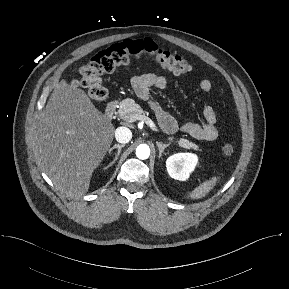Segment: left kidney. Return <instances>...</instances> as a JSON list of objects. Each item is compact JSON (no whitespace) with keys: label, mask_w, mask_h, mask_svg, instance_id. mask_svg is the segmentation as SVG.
<instances>
[{"label":"left kidney","mask_w":289,"mask_h":289,"mask_svg":"<svg viewBox=\"0 0 289 289\" xmlns=\"http://www.w3.org/2000/svg\"><path fill=\"white\" fill-rule=\"evenodd\" d=\"M198 163V157L192 153H177L166 160L168 174L180 181L189 178L190 173L194 171Z\"/></svg>","instance_id":"5707ae66"}]
</instances>
